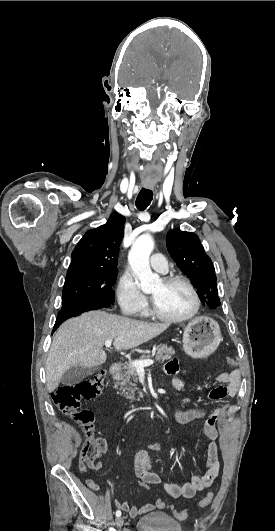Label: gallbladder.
Masks as SVG:
<instances>
[{
	"label": "gallbladder",
	"mask_w": 275,
	"mask_h": 531,
	"mask_svg": "<svg viewBox=\"0 0 275 531\" xmlns=\"http://www.w3.org/2000/svg\"><path fill=\"white\" fill-rule=\"evenodd\" d=\"M95 371H99V367H70L66 373H64L61 383L62 385H67V387H73V385H78L83 379H86L88 375H93Z\"/></svg>",
	"instance_id": "bac80fb5"
}]
</instances>
